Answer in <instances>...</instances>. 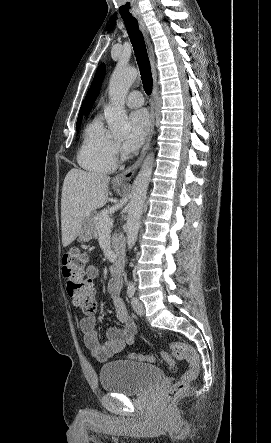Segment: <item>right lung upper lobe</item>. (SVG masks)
<instances>
[{
    "label": "right lung upper lobe",
    "instance_id": "1",
    "mask_svg": "<svg viewBox=\"0 0 271 443\" xmlns=\"http://www.w3.org/2000/svg\"><path fill=\"white\" fill-rule=\"evenodd\" d=\"M82 112H83V107H81L80 112H79V116H78V120H82Z\"/></svg>",
    "mask_w": 271,
    "mask_h": 443
}]
</instances>
